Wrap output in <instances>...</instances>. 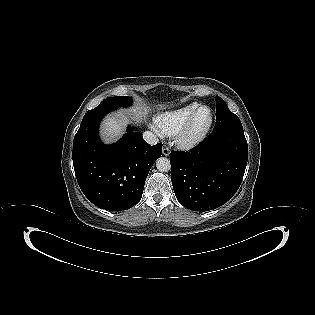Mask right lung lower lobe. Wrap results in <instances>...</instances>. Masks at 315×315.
I'll list each match as a JSON object with an SVG mask.
<instances>
[{
  "mask_svg": "<svg viewBox=\"0 0 315 315\" xmlns=\"http://www.w3.org/2000/svg\"><path fill=\"white\" fill-rule=\"evenodd\" d=\"M116 106H97L89 110L73 142V165L78 184L94 205L122 211L136 205L143 193L146 177L162 154V144L148 145L139 132H128L113 145H104L98 126Z\"/></svg>",
  "mask_w": 315,
  "mask_h": 315,
  "instance_id": "1",
  "label": "right lung lower lobe"
}]
</instances>
